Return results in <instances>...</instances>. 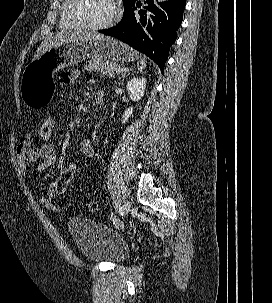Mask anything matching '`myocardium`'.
Wrapping results in <instances>:
<instances>
[{
	"label": "myocardium",
	"mask_w": 272,
	"mask_h": 303,
	"mask_svg": "<svg viewBox=\"0 0 272 303\" xmlns=\"http://www.w3.org/2000/svg\"><path fill=\"white\" fill-rule=\"evenodd\" d=\"M77 2H78V0H69L68 6H67V12H66L67 13V18L76 27L81 28V29H85V30L100 31V30L107 29L116 22V20L118 19L119 15H120V12H121L119 4L117 3V1L112 0L113 7H114V11H113L112 16L106 22H104L102 24L91 25V24H87V23L81 21L80 19H78L75 16L74 8H75V5H76Z\"/></svg>",
	"instance_id": "f54148a6"
}]
</instances>
